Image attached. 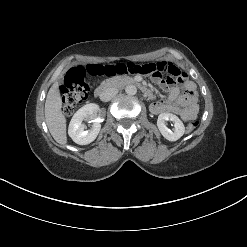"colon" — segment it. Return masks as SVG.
I'll return each instance as SVG.
<instances>
[{
    "instance_id": "colon-1",
    "label": "colon",
    "mask_w": 247,
    "mask_h": 247,
    "mask_svg": "<svg viewBox=\"0 0 247 247\" xmlns=\"http://www.w3.org/2000/svg\"><path fill=\"white\" fill-rule=\"evenodd\" d=\"M139 63L127 62L109 65L89 64L69 69L61 86L62 110L65 114H72L75 109L87 98L91 81L94 76H115L125 74ZM199 125L198 121H190L186 130L192 132Z\"/></svg>"
}]
</instances>
